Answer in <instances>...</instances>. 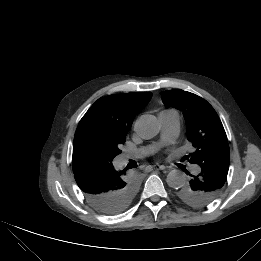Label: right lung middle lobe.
Listing matches in <instances>:
<instances>
[{
  "label": "right lung middle lobe",
  "instance_id": "dd1d6c3e",
  "mask_svg": "<svg viewBox=\"0 0 261 261\" xmlns=\"http://www.w3.org/2000/svg\"><path fill=\"white\" fill-rule=\"evenodd\" d=\"M126 134L108 133L91 127L76 131L73 144V159L84 158L112 162L121 153L119 145ZM138 184L130 180L125 192V202L130 204L136 195Z\"/></svg>",
  "mask_w": 261,
  "mask_h": 261
}]
</instances>
